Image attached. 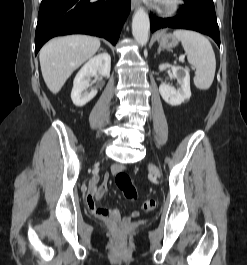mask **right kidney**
Returning <instances> with one entry per match:
<instances>
[{
    "label": "right kidney",
    "instance_id": "1",
    "mask_svg": "<svg viewBox=\"0 0 247 265\" xmlns=\"http://www.w3.org/2000/svg\"><path fill=\"white\" fill-rule=\"evenodd\" d=\"M111 70V57L108 53H101L91 58L77 73L71 92V99L75 106L82 107L91 101L97 94V89L88 91L90 79L97 73L108 77Z\"/></svg>",
    "mask_w": 247,
    "mask_h": 265
}]
</instances>
